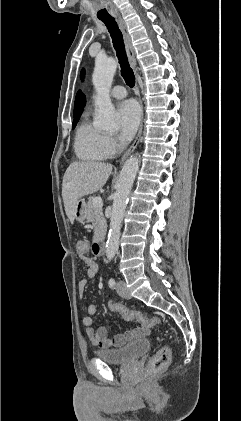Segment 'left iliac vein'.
I'll list each match as a JSON object with an SVG mask.
<instances>
[{"label":"left iliac vein","instance_id":"4c4485c4","mask_svg":"<svg viewBox=\"0 0 241 421\" xmlns=\"http://www.w3.org/2000/svg\"><path fill=\"white\" fill-rule=\"evenodd\" d=\"M117 292H118V294L121 297H123L125 299H130L131 298V294L129 293V291H128L127 287H126V283L124 281H122V280H120L117 283Z\"/></svg>","mask_w":241,"mask_h":421}]
</instances>
